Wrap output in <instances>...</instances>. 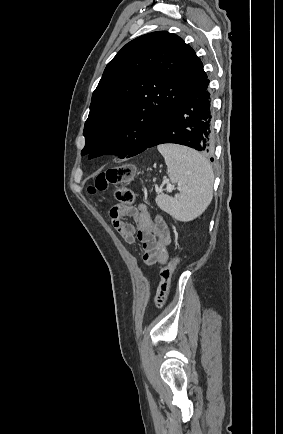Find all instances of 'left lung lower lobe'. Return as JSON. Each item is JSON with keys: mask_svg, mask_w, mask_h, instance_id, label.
Here are the masks:
<instances>
[{"mask_svg": "<svg viewBox=\"0 0 283 434\" xmlns=\"http://www.w3.org/2000/svg\"><path fill=\"white\" fill-rule=\"evenodd\" d=\"M209 83L206 77L183 94L146 149L175 143L205 153L212 152L213 103Z\"/></svg>", "mask_w": 283, "mask_h": 434, "instance_id": "obj_1", "label": "left lung lower lobe"}]
</instances>
